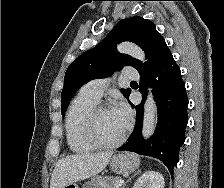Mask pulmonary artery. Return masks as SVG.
<instances>
[{
  "label": "pulmonary artery",
  "mask_w": 224,
  "mask_h": 188,
  "mask_svg": "<svg viewBox=\"0 0 224 188\" xmlns=\"http://www.w3.org/2000/svg\"><path fill=\"white\" fill-rule=\"evenodd\" d=\"M122 76L125 79H138L139 72L132 67H126L123 69ZM108 84L109 79L107 78L93 79L83 86L82 91L89 96L99 100Z\"/></svg>",
  "instance_id": "pulmonary-artery-1"
}]
</instances>
